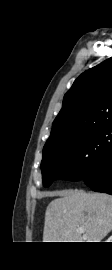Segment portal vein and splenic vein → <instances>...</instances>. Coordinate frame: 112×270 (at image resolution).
<instances>
[{
    "label": "portal vein and splenic vein",
    "instance_id": "obj_1",
    "mask_svg": "<svg viewBox=\"0 0 112 270\" xmlns=\"http://www.w3.org/2000/svg\"><path fill=\"white\" fill-rule=\"evenodd\" d=\"M78 231L79 232H84V228L81 227V228L78 229Z\"/></svg>",
    "mask_w": 112,
    "mask_h": 270
}]
</instances>
